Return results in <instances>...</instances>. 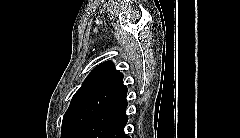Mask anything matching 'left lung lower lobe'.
Returning <instances> with one entry per match:
<instances>
[{
    "mask_svg": "<svg viewBox=\"0 0 240 138\" xmlns=\"http://www.w3.org/2000/svg\"><path fill=\"white\" fill-rule=\"evenodd\" d=\"M126 94L127 87L122 83L85 127L79 138H129L124 133L128 121Z\"/></svg>",
    "mask_w": 240,
    "mask_h": 138,
    "instance_id": "1",
    "label": "left lung lower lobe"
}]
</instances>
